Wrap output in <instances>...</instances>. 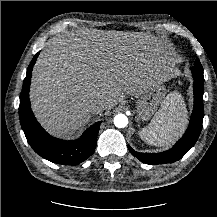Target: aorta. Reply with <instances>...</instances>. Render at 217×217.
<instances>
[{
  "label": "aorta",
  "instance_id": "obj_1",
  "mask_svg": "<svg viewBox=\"0 0 217 217\" xmlns=\"http://www.w3.org/2000/svg\"><path fill=\"white\" fill-rule=\"evenodd\" d=\"M114 125L118 128H124L127 126L128 124V118L126 115L124 114H117L115 117H114Z\"/></svg>",
  "mask_w": 217,
  "mask_h": 217
}]
</instances>
